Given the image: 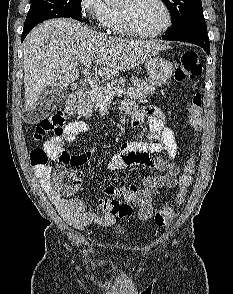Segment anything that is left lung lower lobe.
I'll return each instance as SVG.
<instances>
[{
	"instance_id": "0a47b994",
	"label": "left lung lower lobe",
	"mask_w": 233,
	"mask_h": 294,
	"mask_svg": "<svg viewBox=\"0 0 233 294\" xmlns=\"http://www.w3.org/2000/svg\"><path fill=\"white\" fill-rule=\"evenodd\" d=\"M163 39L193 43L202 47L208 55L210 53L207 30H186L176 34H166Z\"/></svg>"
}]
</instances>
